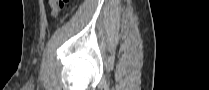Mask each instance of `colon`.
<instances>
[{
	"mask_svg": "<svg viewBox=\"0 0 209 90\" xmlns=\"http://www.w3.org/2000/svg\"><path fill=\"white\" fill-rule=\"evenodd\" d=\"M69 4V0H49L50 10L53 16L57 17Z\"/></svg>",
	"mask_w": 209,
	"mask_h": 90,
	"instance_id": "colon-1",
	"label": "colon"
}]
</instances>
